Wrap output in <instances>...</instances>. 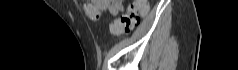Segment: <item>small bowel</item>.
I'll return each mask as SVG.
<instances>
[{
    "instance_id": "small-bowel-1",
    "label": "small bowel",
    "mask_w": 238,
    "mask_h": 70,
    "mask_svg": "<svg viewBox=\"0 0 238 70\" xmlns=\"http://www.w3.org/2000/svg\"><path fill=\"white\" fill-rule=\"evenodd\" d=\"M123 8L121 0H92L84 4V12L91 20H97L102 12H109L117 15ZM96 12V17H92L90 10Z\"/></svg>"
}]
</instances>
